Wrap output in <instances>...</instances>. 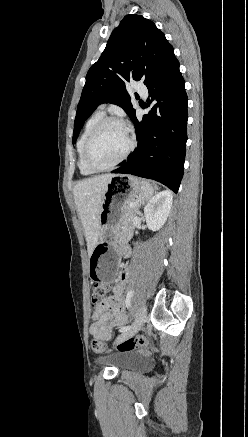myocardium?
I'll return each mask as SVG.
<instances>
[{
    "label": "myocardium",
    "mask_w": 248,
    "mask_h": 437,
    "mask_svg": "<svg viewBox=\"0 0 248 437\" xmlns=\"http://www.w3.org/2000/svg\"><path fill=\"white\" fill-rule=\"evenodd\" d=\"M111 123L119 124L125 128V130L128 134L129 144H128V147L125 150V152L121 155V157L118 160H116L114 163H112L109 166L100 167V166H97L96 164H94L92 159H91V155H90L91 147H92V144H93L95 138L100 133V131L106 125L111 124ZM135 146H136V141H135L134 135H133L131 129L126 125V123L123 120L116 118V117H103L101 120H99L96 123V125L93 127V129L91 130L90 134L88 135V137L85 141L84 150H83L84 161H85L86 166L94 172L109 171V170L115 168L116 166H118L119 164H121L123 161H125L127 159V157L131 154V152L134 150Z\"/></svg>",
    "instance_id": "obj_1"
}]
</instances>
